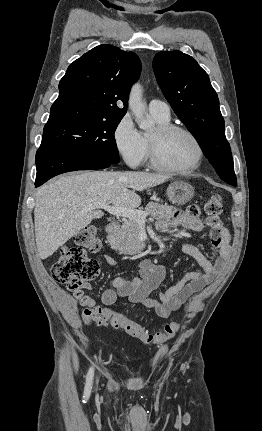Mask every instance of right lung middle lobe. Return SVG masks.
Returning <instances> with one entry per match:
<instances>
[{
	"instance_id": "dd1d6c3e",
	"label": "right lung middle lobe",
	"mask_w": 262,
	"mask_h": 431,
	"mask_svg": "<svg viewBox=\"0 0 262 431\" xmlns=\"http://www.w3.org/2000/svg\"><path fill=\"white\" fill-rule=\"evenodd\" d=\"M121 119L87 118L45 125L41 146L77 150L119 163L114 132Z\"/></svg>"
}]
</instances>
